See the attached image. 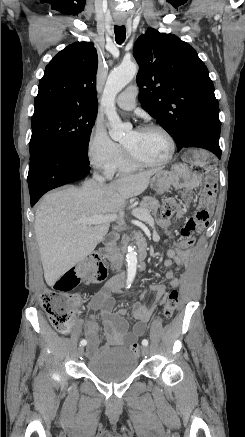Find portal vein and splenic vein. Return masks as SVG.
I'll list each match as a JSON object with an SVG mask.
<instances>
[{"mask_svg":"<svg viewBox=\"0 0 245 437\" xmlns=\"http://www.w3.org/2000/svg\"><path fill=\"white\" fill-rule=\"evenodd\" d=\"M135 210L136 209H133L132 214L134 216H137L141 220H146L147 218L150 217V214L148 211H146L144 214L138 215V213H136ZM118 218H119V216L117 214H112L108 217H104L102 215H95L92 217L77 220L76 222L87 224V225H94V224H98V223L105 222V221H109V222L116 221Z\"/></svg>","mask_w":245,"mask_h":437,"instance_id":"portal-vein-and-splenic-vein-1","label":"portal vein and splenic vein"}]
</instances>
